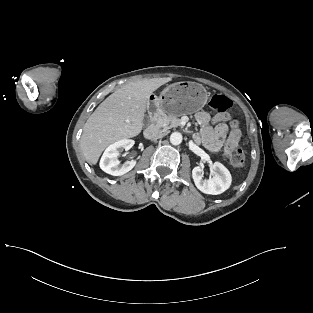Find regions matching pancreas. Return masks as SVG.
I'll return each instance as SVG.
<instances>
[{"label": "pancreas", "instance_id": "1", "mask_svg": "<svg viewBox=\"0 0 313 313\" xmlns=\"http://www.w3.org/2000/svg\"><path fill=\"white\" fill-rule=\"evenodd\" d=\"M156 124L164 130L181 126V120L174 115H167L163 111H159L155 115Z\"/></svg>", "mask_w": 313, "mask_h": 313}]
</instances>
